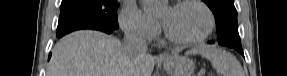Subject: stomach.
Returning a JSON list of instances; mask_svg holds the SVG:
<instances>
[{"label":"stomach","mask_w":287,"mask_h":76,"mask_svg":"<svg viewBox=\"0 0 287 76\" xmlns=\"http://www.w3.org/2000/svg\"><path fill=\"white\" fill-rule=\"evenodd\" d=\"M168 76H191L195 65L191 59L185 56L170 55L163 62Z\"/></svg>","instance_id":"stomach-1"}]
</instances>
